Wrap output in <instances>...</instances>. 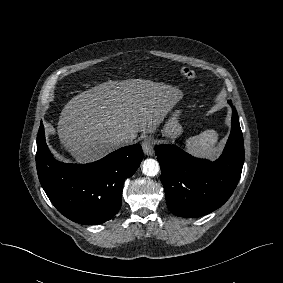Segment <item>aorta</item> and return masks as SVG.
<instances>
[{"instance_id":"762f6f07","label":"aorta","mask_w":283,"mask_h":283,"mask_svg":"<svg viewBox=\"0 0 283 283\" xmlns=\"http://www.w3.org/2000/svg\"><path fill=\"white\" fill-rule=\"evenodd\" d=\"M159 169V163L154 159H146L142 163V172L146 176H156L159 173Z\"/></svg>"}]
</instances>
